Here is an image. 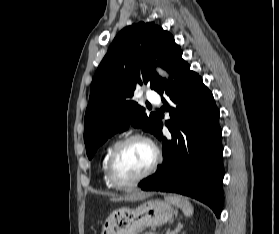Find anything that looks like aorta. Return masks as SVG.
Instances as JSON below:
<instances>
[{"label": "aorta", "instance_id": "aorta-1", "mask_svg": "<svg viewBox=\"0 0 279 234\" xmlns=\"http://www.w3.org/2000/svg\"><path fill=\"white\" fill-rule=\"evenodd\" d=\"M158 73L163 76V77H167V74L165 71L161 70V69H157Z\"/></svg>", "mask_w": 279, "mask_h": 234}]
</instances>
